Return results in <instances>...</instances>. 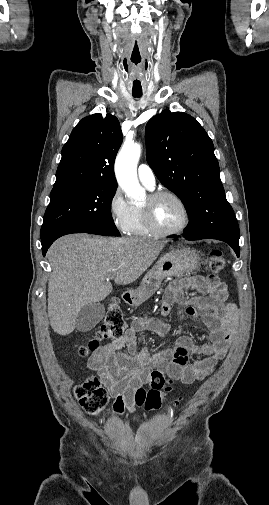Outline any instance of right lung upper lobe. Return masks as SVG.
Listing matches in <instances>:
<instances>
[{
  "label": "right lung upper lobe",
  "mask_w": 269,
  "mask_h": 505,
  "mask_svg": "<svg viewBox=\"0 0 269 505\" xmlns=\"http://www.w3.org/2000/svg\"><path fill=\"white\" fill-rule=\"evenodd\" d=\"M122 139L115 116L83 118L62 148L54 187L77 183L117 186L113 166Z\"/></svg>",
  "instance_id": "right-lung-upper-lobe-1"
}]
</instances>
